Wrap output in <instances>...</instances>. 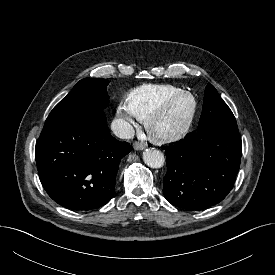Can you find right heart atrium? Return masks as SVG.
<instances>
[{
	"label": "right heart atrium",
	"instance_id": "1",
	"mask_svg": "<svg viewBox=\"0 0 275 275\" xmlns=\"http://www.w3.org/2000/svg\"><path fill=\"white\" fill-rule=\"evenodd\" d=\"M117 115L127 123H131L134 117L126 104H121L118 106ZM124 131H127V128H124Z\"/></svg>",
	"mask_w": 275,
	"mask_h": 275
}]
</instances>
